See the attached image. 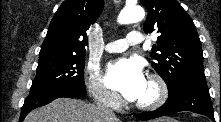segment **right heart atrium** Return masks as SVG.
<instances>
[{
    "label": "right heart atrium",
    "mask_w": 221,
    "mask_h": 122,
    "mask_svg": "<svg viewBox=\"0 0 221 122\" xmlns=\"http://www.w3.org/2000/svg\"><path fill=\"white\" fill-rule=\"evenodd\" d=\"M87 87L91 96L97 102L111 108H116L120 105L119 96L106 87L98 69L93 67L88 69Z\"/></svg>",
    "instance_id": "1"
}]
</instances>
